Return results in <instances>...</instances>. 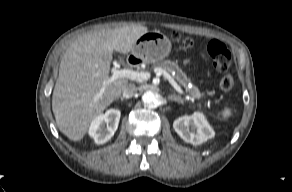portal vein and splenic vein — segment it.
I'll use <instances>...</instances> for the list:
<instances>
[{"label":"portal vein and splenic vein","mask_w":292,"mask_h":192,"mask_svg":"<svg viewBox=\"0 0 292 192\" xmlns=\"http://www.w3.org/2000/svg\"><path fill=\"white\" fill-rule=\"evenodd\" d=\"M110 71L112 73V76L108 78L105 84L111 83L119 78H127L137 82H143L148 80L151 76L149 72H138L128 68L119 69L116 66L112 67ZM155 73L157 75H163L178 93L184 94L182 88L177 84L174 78L171 77V75L166 70H164L163 68H156ZM103 92L104 88L100 90L98 97L101 96Z\"/></svg>","instance_id":"portal-vein-and-splenic-vein-1"}]
</instances>
